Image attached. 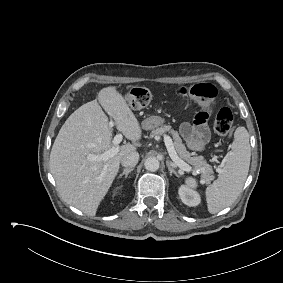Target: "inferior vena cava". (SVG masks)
Masks as SVG:
<instances>
[{
	"instance_id": "obj_1",
	"label": "inferior vena cava",
	"mask_w": 283,
	"mask_h": 283,
	"mask_svg": "<svg viewBox=\"0 0 283 283\" xmlns=\"http://www.w3.org/2000/svg\"><path fill=\"white\" fill-rule=\"evenodd\" d=\"M138 160H139V154L138 152L134 151L125 155L121 159V164L126 168H132L138 163Z\"/></svg>"
}]
</instances>
